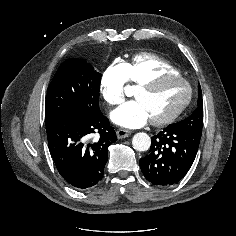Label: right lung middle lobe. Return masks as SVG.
<instances>
[{
    "label": "right lung middle lobe",
    "instance_id": "dd1d6c3e",
    "mask_svg": "<svg viewBox=\"0 0 236 236\" xmlns=\"http://www.w3.org/2000/svg\"><path fill=\"white\" fill-rule=\"evenodd\" d=\"M101 74L82 59L64 61L56 71L45 102V123L99 109Z\"/></svg>",
    "mask_w": 236,
    "mask_h": 236
}]
</instances>
